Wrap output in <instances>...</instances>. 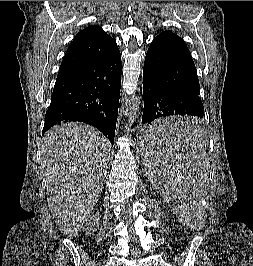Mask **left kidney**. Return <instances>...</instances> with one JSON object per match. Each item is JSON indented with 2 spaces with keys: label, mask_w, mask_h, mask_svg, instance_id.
<instances>
[{
  "label": "left kidney",
  "mask_w": 253,
  "mask_h": 266,
  "mask_svg": "<svg viewBox=\"0 0 253 266\" xmlns=\"http://www.w3.org/2000/svg\"><path fill=\"white\" fill-rule=\"evenodd\" d=\"M180 208H183V206H180ZM186 218H188V216H185Z\"/></svg>",
  "instance_id": "left-kidney-1"
}]
</instances>
